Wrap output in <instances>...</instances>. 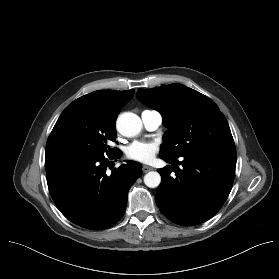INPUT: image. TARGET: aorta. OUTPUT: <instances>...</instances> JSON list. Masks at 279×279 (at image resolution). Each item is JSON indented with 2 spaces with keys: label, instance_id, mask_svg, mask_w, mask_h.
Wrapping results in <instances>:
<instances>
[{
  "label": "aorta",
  "instance_id": "aorta-1",
  "mask_svg": "<svg viewBox=\"0 0 279 279\" xmlns=\"http://www.w3.org/2000/svg\"><path fill=\"white\" fill-rule=\"evenodd\" d=\"M118 132L125 137H135L142 129L140 117L132 112L120 114L116 121ZM144 183L149 188H156L161 183V176L156 171H150L144 176Z\"/></svg>",
  "mask_w": 279,
  "mask_h": 279
}]
</instances>
